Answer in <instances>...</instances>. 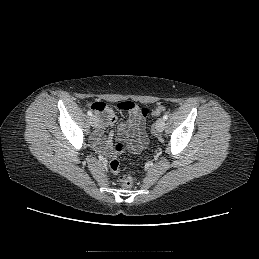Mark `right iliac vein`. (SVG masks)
I'll list each match as a JSON object with an SVG mask.
<instances>
[{
	"label": "right iliac vein",
	"mask_w": 259,
	"mask_h": 259,
	"mask_svg": "<svg viewBox=\"0 0 259 259\" xmlns=\"http://www.w3.org/2000/svg\"><path fill=\"white\" fill-rule=\"evenodd\" d=\"M90 123H91L92 127H97V125H98L97 117L96 116H91Z\"/></svg>",
	"instance_id": "63e3f726"
}]
</instances>
